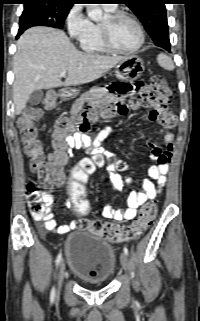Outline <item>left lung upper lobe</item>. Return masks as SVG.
Returning a JSON list of instances; mask_svg holds the SVG:
<instances>
[{"instance_id":"1","label":"left lung upper lobe","mask_w":200,"mask_h":321,"mask_svg":"<svg viewBox=\"0 0 200 321\" xmlns=\"http://www.w3.org/2000/svg\"><path fill=\"white\" fill-rule=\"evenodd\" d=\"M167 0H123L140 19L155 44L170 46L165 3Z\"/></svg>"}]
</instances>
